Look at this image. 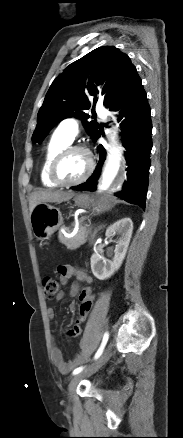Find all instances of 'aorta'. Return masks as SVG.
Masks as SVG:
<instances>
[{"instance_id": "1", "label": "aorta", "mask_w": 183, "mask_h": 438, "mask_svg": "<svg viewBox=\"0 0 183 438\" xmlns=\"http://www.w3.org/2000/svg\"><path fill=\"white\" fill-rule=\"evenodd\" d=\"M120 166V152L118 148H113L108 156V162L102 175V182L99 190L107 189L117 175Z\"/></svg>"}]
</instances>
